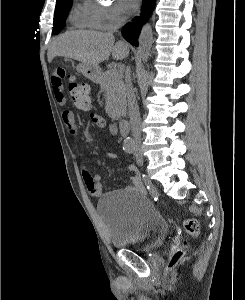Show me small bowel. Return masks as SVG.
I'll list each match as a JSON object with an SVG mask.
<instances>
[{"instance_id": "c3829d8e", "label": "small bowel", "mask_w": 245, "mask_h": 300, "mask_svg": "<svg viewBox=\"0 0 245 300\" xmlns=\"http://www.w3.org/2000/svg\"><path fill=\"white\" fill-rule=\"evenodd\" d=\"M51 84L56 102L61 106L64 105L66 103V98L63 92V80L56 73H54L51 78ZM62 120L68 128L69 133L72 136H75L77 133V124L73 112L70 110H63ZM90 120L100 132L106 127L105 120L97 113H91ZM109 129L111 133L116 134L117 130L115 126L110 125ZM106 156L111 159L118 158V155L114 152H107ZM130 171L133 172V175L131 176L132 185L129 186V189L142 192L144 187L141 176L134 167H130ZM82 177L90 195L94 198H100L102 195V186L99 175L92 173L86 166H84L82 170Z\"/></svg>"}]
</instances>
